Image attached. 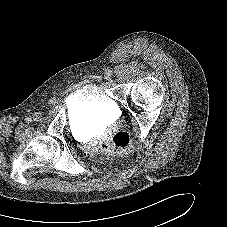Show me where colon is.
<instances>
[{
  "label": "colon",
  "mask_w": 227,
  "mask_h": 227,
  "mask_svg": "<svg viewBox=\"0 0 227 227\" xmlns=\"http://www.w3.org/2000/svg\"><path fill=\"white\" fill-rule=\"evenodd\" d=\"M131 143V138L126 132H119L101 142L100 148L105 153H121L125 151Z\"/></svg>",
  "instance_id": "obj_1"
}]
</instances>
